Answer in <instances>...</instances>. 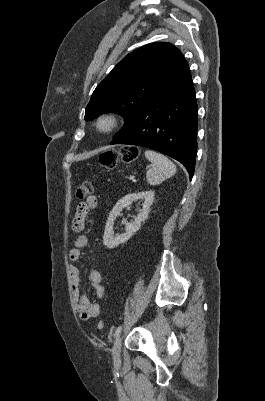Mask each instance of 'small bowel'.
Here are the masks:
<instances>
[{
  "mask_svg": "<svg viewBox=\"0 0 265 401\" xmlns=\"http://www.w3.org/2000/svg\"><path fill=\"white\" fill-rule=\"evenodd\" d=\"M98 205V199L92 195L85 201L80 202L77 205L76 213L72 221V229L78 233V236L73 242V247L69 252V258L72 261H77L80 257V251L88 243V237L83 234L85 229L86 219L91 210L95 209ZM70 280L71 290L73 295V301L75 310L82 320H88L93 317H97L100 313V305L97 302H92L90 299L80 293V271L75 265L70 267ZM89 281L98 298H103L105 295V287L103 285V276L98 270H91L89 272Z\"/></svg>",
  "mask_w": 265,
  "mask_h": 401,
  "instance_id": "c3829d8e",
  "label": "small bowel"
}]
</instances>
